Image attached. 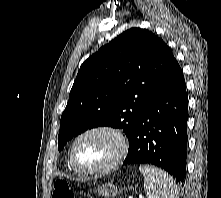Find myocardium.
Returning a JSON list of instances; mask_svg holds the SVG:
<instances>
[{
    "label": "myocardium",
    "instance_id": "myocardium-1",
    "mask_svg": "<svg viewBox=\"0 0 221 198\" xmlns=\"http://www.w3.org/2000/svg\"><path fill=\"white\" fill-rule=\"evenodd\" d=\"M95 133H106L114 137L117 141L118 149L115 156L107 164L96 169H86L78 165V163L76 162L75 148L82 138ZM128 148V140L120 129L110 125H97L85 129L75 137L70 147L69 159L72 167L81 174L90 176L102 175L115 169L118 165L122 163L128 153Z\"/></svg>",
    "mask_w": 221,
    "mask_h": 198
}]
</instances>
